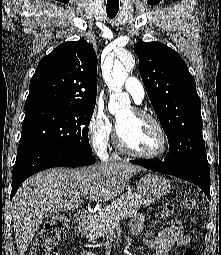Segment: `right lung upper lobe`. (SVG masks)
<instances>
[{
  "label": "right lung upper lobe",
  "mask_w": 221,
  "mask_h": 255,
  "mask_svg": "<svg viewBox=\"0 0 221 255\" xmlns=\"http://www.w3.org/2000/svg\"><path fill=\"white\" fill-rule=\"evenodd\" d=\"M97 55L85 40L68 41L43 57L31 78L25 111L95 105Z\"/></svg>",
  "instance_id": "obj_1"
}]
</instances>
